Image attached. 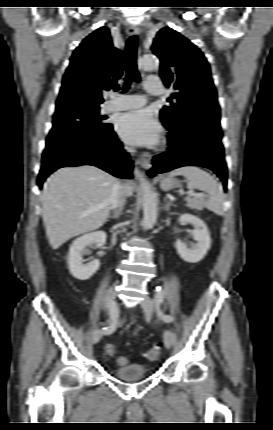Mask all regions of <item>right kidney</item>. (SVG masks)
Wrapping results in <instances>:
<instances>
[{
    "label": "right kidney",
    "instance_id": "1",
    "mask_svg": "<svg viewBox=\"0 0 273 430\" xmlns=\"http://www.w3.org/2000/svg\"><path fill=\"white\" fill-rule=\"evenodd\" d=\"M106 242V233L96 231L85 234L74 240L69 249L68 266L71 275L79 280H87L92 277L100 267L99 260L95 259L88 264H83L82 255L86 252V247L95 244L101 247Z\"/></svg>",
    "mask_w": 273,
    "mask_h": 430
}]
</instances>
